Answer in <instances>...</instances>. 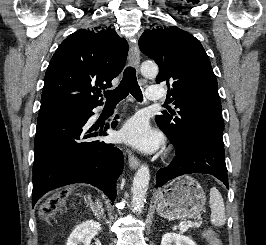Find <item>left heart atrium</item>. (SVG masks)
<instances>
[{
    "label": "left heart atrium",
    "instance_id": "left-heart-atrium-1",
    "mask_svg": "<svg viewBox=\"0 0 266 245\" xmlns=\"http://www.w3.org/2000/svg\"><path fill=\"white\" fill-rule=\"evenodd\" d=\"M121 137L144 150H153L160 143V136L153 131L148 122L141 118L130 119L121 130Z\"/></svg>",
    "mask_w": 266,
    "mask_h": 245
}]
</instances>
